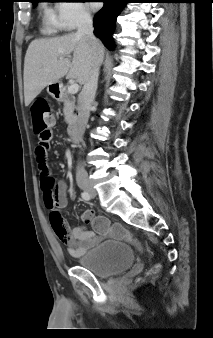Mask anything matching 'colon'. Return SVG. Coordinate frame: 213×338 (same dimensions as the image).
<instances>
[{
	"mask_svg": "<svg viewBox=\"0 0 213 338\" xmlns=\"http://www.w3.org/2000/svg\"><path fill=\"white\" fill-rule=\"evenodd\" d=\"M33 112V128L39 140L44 141L50 137L52 115L48 103L43 99H37L32 104ZM38 169L41 180L42 197L45 208L50 212V222L53 228L62 225L63 219L57 211V201L54 195L55 182L50 172L47 161H38ZM95 226H99L96 223ZM160 269L158 264L153 265L150 270V275H155Z\"/></svg>",
	"mask_w": 213,
	"mask_h": 338,
	"instance_id": "colon-1",
	"label": "colon"
}]
</instances>
